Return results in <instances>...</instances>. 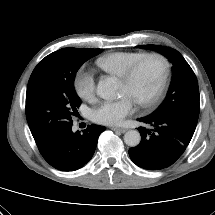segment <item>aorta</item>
Masks as SVG:
<instances>
[{"label": "aorta", "mask_w": 215, "mask_h": 215, "mask_svg": "<svg viewBox=\"0 0 215 215\" xmlns=\"http://www.w3.org/2000/svg\"><path fill=\"white\" fill-rule=\"evenodd\" d=\"M120 84L114 77H107L99 81L97 95L105 100H114L119 97ZM141 141L140 133L137 130H129L124 135V142L130 147H136Z\"/></svg>", "instance_id": "obj_1"}]
</instances>
